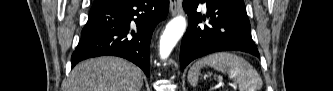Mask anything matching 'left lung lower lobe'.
Returning a JSON list of instances; mask_svg holds the SVG:
<instances>
[{
  "instance_id": "0a47b994",
  "label": "left lung lower lobe",
  "mask_w": 333,
  "mask_h": 91,
  "mask_svg": "<svg viewBox=\"0 0 333 91\" xmlns=\"http://www.w3.org/2000/svg\"><path fill=\"white\" fill-rule=\"evenodd\" d=\"M200 2L207 5L206 16L196 12ZM183 7L189 26L181 44L182 69L194 59L218 51H242L259 57L243 0H184ZM206 18L209 23L200 25Z\"/></svg>"
}]
</instances>
